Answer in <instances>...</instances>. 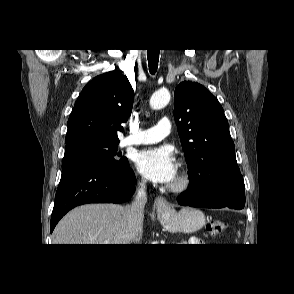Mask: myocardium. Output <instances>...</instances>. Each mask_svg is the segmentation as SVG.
<instances>
[{
    "mask_svg": "<svg viewBox=\"0 0 294 294\" xmlns=\"http://www.w3.org/2000/svg\"><path fill=\"white\" fill-rule=\"evenodd\" d=\"M191 185V176L187 169L182 168L176 176V180L172 182L168 189L173 193H182Z\"/></svg>",
    "mask_w": 294,
    "mask_h": 294,
    "instance_id": "f54148a6",
    "label": "myocardium"
}]
</instances>
